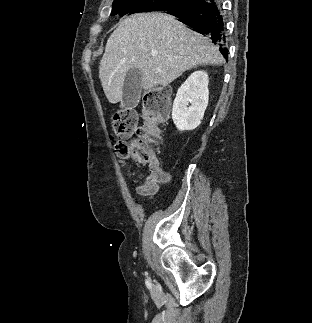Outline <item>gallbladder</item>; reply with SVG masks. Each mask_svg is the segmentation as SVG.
Returning a JSON list of instances; mask_svg holds the SVG:
<instances>
[{"mask_svg": "<svg viewBox=\"0 0 312 323\" xmlns=\"http://www.w3.org/2000/svg\"><path fill=\"white\" fill-rule=\"evenodd\" d=\"M142 70L140 68H131L128 70L123 88L121 104L123 108H134L140 100L142 88Z\"/></svg>", "mask_w": 312, "mask_h": 323, "instance_id": "1", "label": "gallbladder"}]
</instances>
